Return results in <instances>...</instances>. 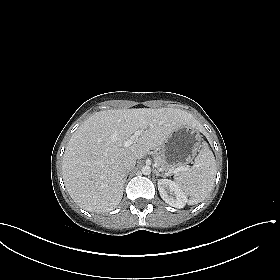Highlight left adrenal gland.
<instances>
[{
    "label": "left adrenal gland",
    "instance_id": "1",
    "mask_svg": "<svg viewBox=\"0 0 280 280\" xmlns=\"http://www.w3.org/2000/svg\"><path fill=\"white\" fill-rule=\"evenodd\" d=\"M154 173L155 175L158 177V176H161V177H165L164 175L160 174L158 170L154 169Z\"/></svg>",
    "mask_w": 280,
    "mask_h": 280
}]
</instances>
